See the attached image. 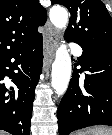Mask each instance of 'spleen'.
<instances>
[{"mask_svg": "<svg viewBox=\"0 0 112 135\" xmlns=\"http://www.w3.org/2000/svg\"><path fill=\"white\" fill-rule=\"evenodd\" d=\"M76 135H112V129L103 126H97L87 132H83V131L78 132L76 133Z\"/></svg>", "mask_w": 112, "mask_h": 135, "instance_id": "obj_1", "label": "spleen"}]
</instances>
